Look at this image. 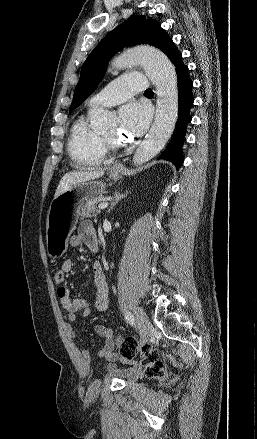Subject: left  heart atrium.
Masks as SVG:
<instances>
[{
    "label": "left heart atrium",
    "mask_w": 257,
    "mask_h": 439,
    "mask_svg": "<svg viewBox=\"0 0 257 439\" xmlns=\"http://www.w3.org/2000/svg\"><path fill=\"white\" fill-rule=\"evenodd\" d=\"M119 118L122 134L133 139L146 130L150 121V110L144 103L131 102L120 109Z\"/></svg>",
    "instance_id": "39dd6f15"
}]
</instances>
